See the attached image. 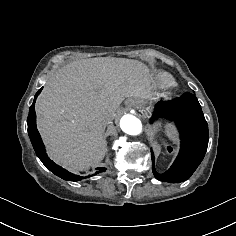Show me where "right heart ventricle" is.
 <instances>
[{"instance_id": "right-heart-ventricle-1", "label": "right heart ventricle", "mask_w": 236, "mask_h": 236, "mask_svg": "<svg viewBox=\"0 0 236 236\" xmlns=\"http://www.w3.org/2000/svg\"><path fill=\"white\" fill-rule=\"evenodd\" d=\"M175 85L174 79L168 74H160L157 78V86L164 90L171 88Z\"/></svg>"}]
</instances>
